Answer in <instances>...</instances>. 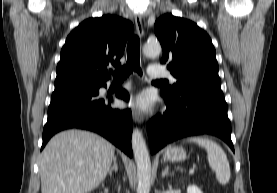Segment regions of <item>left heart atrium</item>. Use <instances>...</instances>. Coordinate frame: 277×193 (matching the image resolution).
I'll return each mask as SVG.
<instances>
[{"mask_svg":"<svg viewBox=\"0 0 277 193\" xmlns=\"http://www.w3.org/2000/svg\"><path fill=\"white\" fill-rule=\"evenodd\" d=\"M130 106L138 111H147L151 107V98L149 94L141 93L130 103Z\"/></svg>","mask_w":277,"mask_h":193,"instance_id":"39dd6f15","label":"left heart atrium"}]
</instances>
